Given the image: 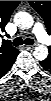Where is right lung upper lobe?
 Instances as JSON below:
<instances>
[{"label": "right lung upper lobe", "mask_w": 51, "mask_h": 101, "mask_svg": "<svg viewBox=\"0 0 51 101\" xmlns=\"http://www.w3.org/2000/svg\"><path fill=\"white\" fill-rule=\"evenodd\" d=\"M20 1H0V36L1 32L5 31V26L8 23L12 12L19 5ZM0 52V74L6 71L11 64L16 60L19 53L17 49L10 46L9 42L2 44Z\"/></svg>", "instance_id": "cb5924a9"}]
</instances>
